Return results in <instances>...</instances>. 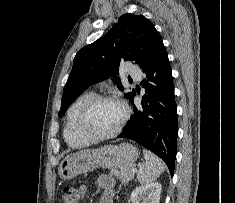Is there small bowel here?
Returning a JSON list of instances; mask_svg holds the SVG:
<instances>
[{"mask_svg": "<svg viewBox=\"0 0 235 203\" xmlns=\"http://www.w3.org/2000/svg\"><path fill=\"white\" fill-rule=\"evenodd\" d=\"M96 184L99 188L103 190L100 203H113L114 197V180L109 175H100Z\"/></svg>", "mask_w": 235, "mask_h": 203, "instance_id": "1", "label": "small bowel"}]
</instances>
